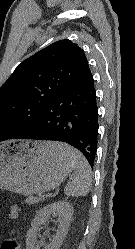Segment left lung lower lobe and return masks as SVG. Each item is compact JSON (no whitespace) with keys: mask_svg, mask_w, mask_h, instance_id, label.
Wrapping results in <instances>:
<instances>
[{"mask_svg":"<svg viewBox=\"0 0 135 249\" xmlns=\"http://www.w3.org/2000/svg\"><path fill=\"white\" fill-rule=\"evenodd\" d=\"M98 127L96 90L90 73L49 104L37 126L20 139L66 142L80 150L93 167Z\"/></svg>","mask_w":135,"mask_h":249,"instance_id":"0a47b994","label":"left lung lower lobe"}]
</instances>
